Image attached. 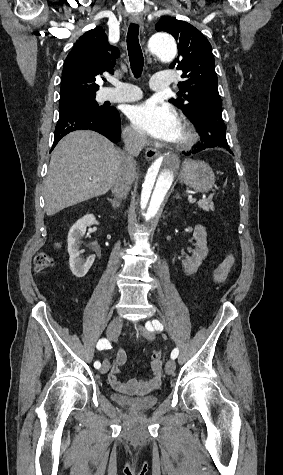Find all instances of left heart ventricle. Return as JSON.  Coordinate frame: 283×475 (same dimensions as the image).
<instances>
[{
  "label": "left heart ventricle",
  "instance_id": "1",
  "mask_svg": "<svg viewBox=\"0 0 283 475\" xmlns=\"http://www.w3.org/2000/svg\"><path fill=\"white\" fill-rule=\"evenodd\" d=\"M181 134H182V129H181V125H180V128H179V136H178V138L176 139L175 142H177V141L180 139Z\"/></svg>",
  "mask_w": 283,
  "mask_h": 475
}]
</instances>
